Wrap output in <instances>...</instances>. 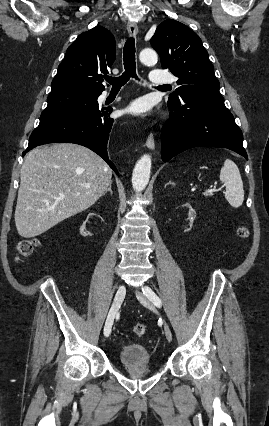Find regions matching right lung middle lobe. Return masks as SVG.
Instances as JSON below:
<instances>
[{
	"label": "right lung middle lobe",
	"instance_id": "dd1d6c3e",
	"mask_svg": "<svg viewBox=\"0 0 269 426\" xmlns=\"http://www.w3.org/2000/svg\"><path fill=\"white\" fill-rule=\"evenodd\" d=\"M100 93L78 90H61L51 92L48 105L42 112L40 123L62 118L98 106Z\"/></svg>",
	"mask_w": 269,
	"mask_h": 426
}]
</instances>
